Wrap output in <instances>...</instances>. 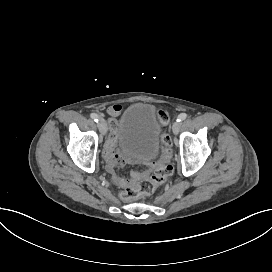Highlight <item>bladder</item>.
Listing matches in <instances>:
<instances>
[{
    "label": "bladder",
    "instance_id": "obj_1",
    "mask_svg": "<svg viewBox=\"0 0 272 272\" xmlns=\"http://www.w3.org/2000/svg\"><path fill=\"white\" fill-rule=\"evenodd\" d=\"M155 105L132 103L120 117L117 147L127 152L131 160L154 161L162 149L164 121Z\"/></svg>",
    "mask_w": 272,
    "mask_h": 272
}]
</instances>
